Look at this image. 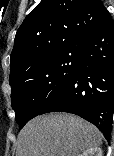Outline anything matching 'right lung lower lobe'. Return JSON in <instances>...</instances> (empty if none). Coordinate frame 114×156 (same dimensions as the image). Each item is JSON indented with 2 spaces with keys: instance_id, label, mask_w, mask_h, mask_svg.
Returning a JSON list of instances; mask_svg holds the SVG:
<instances>
[{
  "instance_id": "1",
  "label": "right lung lower lobe",
  "mask_w": 114,
  "mask_h": 156,
  "mask_svg": "<svg viewBox=\"0 0 114 156\" xmlns=\"http://www.w3.org/2000/svg\"><path fill=\"white\" fill-rule=\"evenodd\" d=\"M82 59L65 89L40 113L68 112L110 138L114 110V21L108 13L79 43Z\"/></svg>"
}]
</instances>
